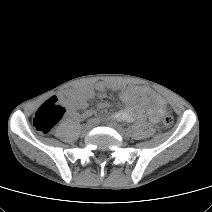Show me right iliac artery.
Returning a JSON list of instances; mask_svg holds the SVG:
<instances>
[{"mask_svg": "<svg viewBox=\"0 0 212 212\" xmlns=\"http://www.w3.org/2000/svg\"><path fill=\"white\" fill-rule=\"evenodd\" d=\"M98 122V120L97 119H95V118H92V119H90V120H88V122H87V124H95V123H97Z\"/></svg>", "mask_w": 212, "mask_h": 212, "instance_id": "1", "label": "right iliac artery"}]
</instances>
